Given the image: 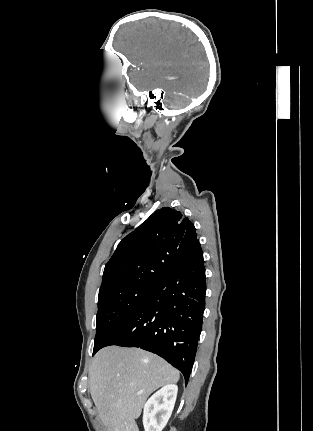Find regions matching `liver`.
<instances>
[{
	"label": "liver",
	"instance_id": "obj_1",
	"mask_svg": "<svg viewBox=\"0 0 313 431\" xmlns=\"http://www.w3.org/2000/svg\"><path fill=\"white\" fill-rule=\"evenodd\" d=\"M179 378L165 360L139 348L105 347L89 368L91 397L107 431H139L135 420L149 395Z\"/></svg>",
	"mask_w": 313,
	"mask_h": 431
}]
</instances>
